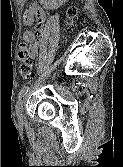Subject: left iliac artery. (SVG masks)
Instances as JSON below:
<instances>
[{
    "instance_id": "1",
    "label": "left iliac artery",
    "mask_w": 123,
    "mask_h": 167,
    "mask_svg": "<svg viewBox=\"0 0 123 167\" xmlns=\"http://www.w3.org/2000/svg\"><path fill=\"white\" fill-rule=\"evenodd\" d=\"M28 90H29V86H24V87L20 90V92H19V94H18V98H19V99L22 98V97L28 92Z\"/></svg>"
}]
</instances>
